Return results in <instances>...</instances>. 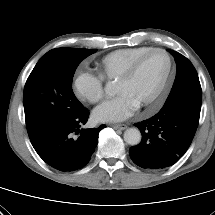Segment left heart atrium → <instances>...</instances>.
Returning <instances> with one entry per match:
<instances>
[{
    "label": "left heart atrium",
    "mask_w": 215,
    "mask_h": 215,
    "mask_svg": "<svg viewBox=\"0 0 215 215\" xmlns=\"http://www.w3.org/2000/svg\"><path fill=\"white\" fill-rule=\"evenodd\" d=\"M138 107L129 95L121 93L96 107L93 118L98 122L116 123L132 116Z\"/></svg>",
    "instance_id": "1"
}]
</instances>
